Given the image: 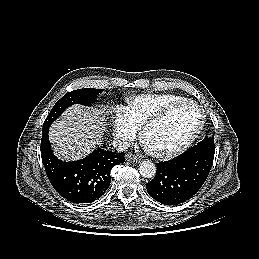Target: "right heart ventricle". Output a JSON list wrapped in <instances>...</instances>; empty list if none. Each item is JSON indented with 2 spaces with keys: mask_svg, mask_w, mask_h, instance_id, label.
I'll use <instances>...</instances> for the list:
<instances>
[{
  "mask_svg": "<svg viewBox=\"0 0 259 259\" xmlns=\"http://www.w3.org/2000/svg\"><path fill=\"white\" fill-rule=\"evenodd\" d=\"M186 98L175 94H145L127 98L125 110L135 127L140 128L164 107Z\"/></svg>",
  "mask_w": 259,
  "mask_h": 259,
  "instance_id": "right-heart-ventricle-1",
  "label": "right heart ventricle"
}]
</instances>
